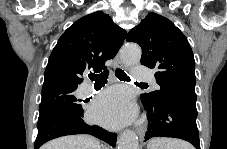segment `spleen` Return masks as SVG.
Segmentation results:
<instances>
[{
  "label": "spleen",
  "mask_w": 227,
  "mask_h": 149,
  "mask_svg": "<svg viewBox=\"0 0 227 149\" xmlns=\"http://www.w3.org/2000/svg\"><path fill=\"white\" fill-rule=\"evenodd\" d=\"M147 149H192V146L177 139L154 138L148 143Z\"/></svg>",
  "instance_id": "spleen-1"
}]
</instances>
